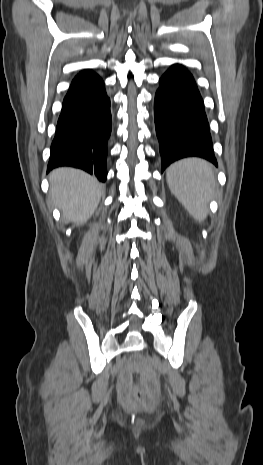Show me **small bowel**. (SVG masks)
<instances>
[{
  "mask_svg": "<svg viewBox=\"0 0 263 465\" xmlns=\"http://www.w3.org/2000/svg\"><path fill=\"white\" fill-rule=\"evenodd\" d=\"M137 369L135 363H130L128 367L121 374L119 382V395L123 402L128 403L131 401L132 395V372Z\"/></svg>",
  "mask_w": 263,
  "mask_h": 465,
  "instance_id": "obj_1",
  "label": "small bowel"
}]
</instances>
